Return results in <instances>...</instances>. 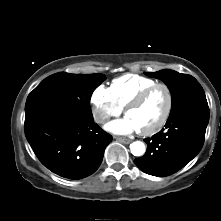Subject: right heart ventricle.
I'll return each instance as SVG.
<instances>
[{
  "label": "right heart ventricle",
  "mask_w": 221,
  "mask_h": 221,
  "mask_svg": "<svg viewBox=\"0 0 221 221\" xmlns=\"http://www.w3.org/2000/svg\"><path fill=\"white\" fill-rule=\"evenodd\" d=\"M155 83L157 81L149 77L126 74L113 79L110 89L115 101L123 109L140 92Z\"/></svg>",
  "instance_id": "e07e8e85"
}]
</instances>
